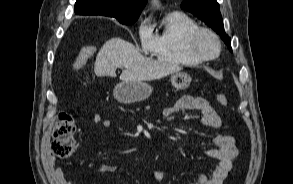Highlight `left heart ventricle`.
Segmentation results:
<instances>
[{
	"mask_svg": "<svg viewBox=\"0 0 293 184\" xmlns=\"http://www.w3.org/2000/svg\"><path fill=\"white\" fill-rule=\"evenodd\" d=\"M198 49L205 55H214L217 52V43L211 36L203 34L198 40Z\"/></svg>",
	"mask_w": 293,
	"mask_h": 184,
	"instance_id": "obj_1",
	"label": "left heart ventricle"
}]
</instances>
